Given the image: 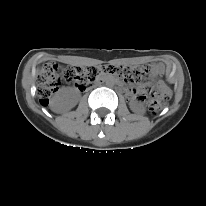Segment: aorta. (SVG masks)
Listing matches in <instances>:
<instances>
[{"mask_svg":"<svg viewBox=\"0 0 206 206\" xmlns=\"http://www.w3.org/2000/svg\"><path fill=\"white\" fill-rule=\"evenodd\" d=\"M106 85L107 86H112L113 85V80L112 79H107L106 80Z\"/></svg>","mask_w":206,"mask_h":206,"instance_id":"1","label":"aorta"}]
</instances>
